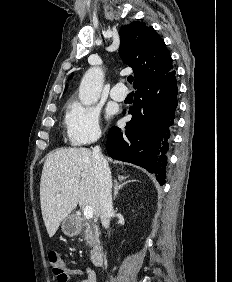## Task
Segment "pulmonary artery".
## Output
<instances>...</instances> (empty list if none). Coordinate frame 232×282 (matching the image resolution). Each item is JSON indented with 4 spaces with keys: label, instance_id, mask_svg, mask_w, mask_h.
<instances>
[{
    "label": "pulmonary artery",
    "instance_id": "e3ab8cb5",
    "mask_svg": "<svg viewBox=\"0 0 232 282\" xmlns=\"http://www.w3.org/2000/svg\"><path fill=\"white\" fill-rule=\"evenodd\" d=\"M127 94L128 91L122 83L114 85L110 91V97L116 101H123Z\"/></svg>",
    "mask_w": 232,
    "mask_h": 282
}]
</instances>
